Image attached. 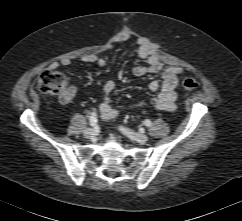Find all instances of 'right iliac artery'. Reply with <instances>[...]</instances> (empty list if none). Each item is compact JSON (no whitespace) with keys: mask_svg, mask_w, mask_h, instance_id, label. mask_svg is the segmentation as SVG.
I'll use <instances>...</instances> for the list:
<instances>
[{"mask_svg":"<svg viewBox=\"0 0 242 221\" xmlns=\"http://www.w3.org/2000/svg\"><path fill=\"white\" fill-rule=\"evenodd\" d=\"M97 114L96 112H92L91 116L89 118V124L90 126L94 127L97 124Z\"/></svg>","mask_w":242,"mask_h":221,"instance_id":"82829eb1","label":"right iliac artery"}]
</instances>
